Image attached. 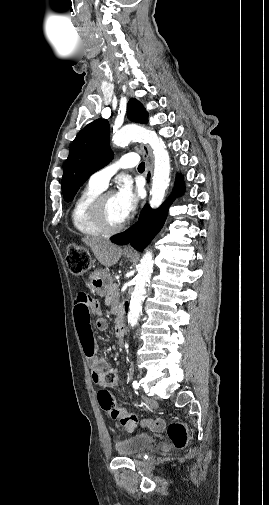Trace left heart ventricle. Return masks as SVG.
<instances>
[{
	"mask_svg": "<svg viewBox=\"0 0 269 505\" xmlns=\"http://www.w3.org/2000/svg\"><path fill=\"white\" fill-rule=\"evenodd\" d=\"M105 212L107 219L110 224L118 225L122 223L125 219L119 213L116 205L114 194L109 195L105 200Z\"/></svg>",
	"mask_w": 269,
	"mask_h": 505,
	"instance_id": "left-heart-ventricle-1",
	"label": "left heart ventricle"
}]
</instances>
